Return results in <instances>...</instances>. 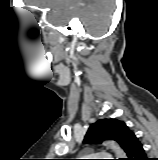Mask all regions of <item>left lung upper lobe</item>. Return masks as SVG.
<instances>
[{"mask_svg": "<svg viewBox=\"0 0 158 160\" xmlns=\"http://www.w3.org/2000/svg\"><path fill=\"white\" fill-rule=\"evenodd\" d=\"M133 132L126 124L117 119H100L90 125L84 143H101L104 140H115L125 149V145Z\"/></svg>", "mask_w": 158, "mask_h": 160, "instance_id": "obj_1", "label": "left lung upper lobe"}]
</instances>
